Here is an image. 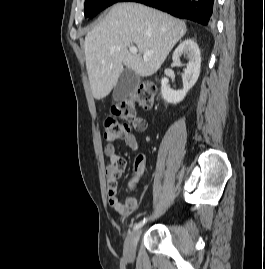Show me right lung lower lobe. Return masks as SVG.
Wrapping results in <instances>:
<instances>
[{
  "mask_svg": "<svg viewBox=\"0 0 265 269\" xmlns=\"http://www.w3.org/2000/svg\"><path fill=\"white\" fill-rule=\"evenodd\" d=\"M138 2L165 11L173 16L189 19L207 25L214 0H125Z\"/></svg>",
  "mask_w": 265,
  "mask_h": 269,
  "instance_id": "obj_1",
  "label": "right lung lower lobe"
}]
</instances>
